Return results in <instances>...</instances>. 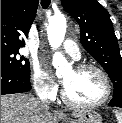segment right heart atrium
I'll use <instances>...</instances> for the list:
<instances>
[{
	"label": "right heart atrium",
	"mask_w": 122,
	"mask_h": 123,
	"mask_svg": "<svg viewBox=\"0 0 122 123\" xmlns=\"http://www.w3.org/2000/svg\"><path fill=\"white\" fill-rule=\"evenodd\" d=\"M32 78L34 88L39 96L52 98L56 94V83L38 65L33 67Z\"/></svg>",
	"instance_id": "1"
}]
</instances>
